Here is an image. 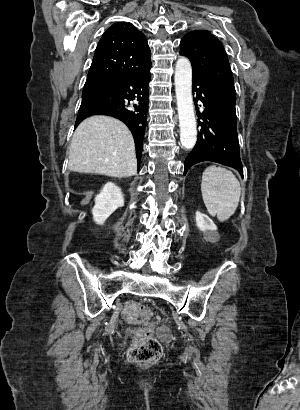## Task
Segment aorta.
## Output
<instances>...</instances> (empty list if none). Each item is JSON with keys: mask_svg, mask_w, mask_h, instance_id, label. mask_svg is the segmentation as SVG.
<instances>
[{"mask_svg": "<svg viewBox=\"0 0 300 410\" xmlns=\"http://www.w3.org/2000/svg\"><path fill=\"white\" fill-rule=\"evenodd\" d=\"M175 92L180 124V141L185 149H192L197 140V126L192 98V67L186 57L175 66Z\"/></svg>", "mask_w": 300, "mask_h": 410, "instance_id": "aorta-1", "label": "aorta"}]
</instances>
